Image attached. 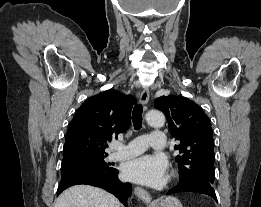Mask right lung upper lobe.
I'll return each instance as SVG.
<instances>
[{
    "instance_id": "obj_1",
    "label": "right lung upper lobe",
    "mask_w": 261,
    "mask_h": 207,
    "mask_svg": "<svg viewBox=\"0 0 261 207\" xmlns=\"http://www.w3.org/2000/svg\"><path fill=\"white\" fill-rule=\"evenodd\" d=\"M136 100L116 90L88 98L70 122L63 147V161L84 156L107 155L106 141L125 132Z\"/></svg>"
}]
</instances>
